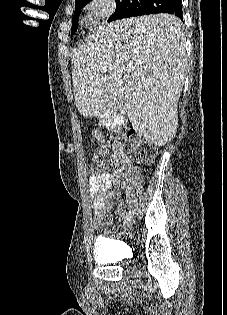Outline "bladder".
<instances>
[{"mask_svg":"<svg viewBox=\"0 0 227 315\" xmlns=\"http://www.w3.org/2000/svg\"><path fill=\"white\" fill-rule=\"evenodd\" d=\"M117 240H107L106 238L97 239L93 246V257L96 261L104 264H109L115 259V256L108 249L118 246Z\"/></svg>","mask_w":227,"mask_h":315,"instance_id":"1","label":"bladder"}]
</instances>
